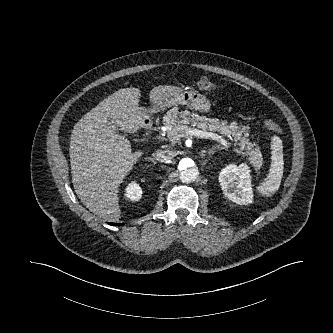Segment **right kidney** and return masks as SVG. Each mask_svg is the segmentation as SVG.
<instances>
[{
    "instance_id": "1",
    "label": "right kidney",
    "mask_w": 333,
    "mask_h": 333,
    "mask_svg": "<svg viewBox=\"0 0 333 333\" xmlns=\"http://www.w3.org/2000/svg\"><path fill=\"white\" fill-rule=\"evenodd\" d=\"M125 196L130 201H139L142 197V189L137 183L132 182L126 188Z\"/></svg>"
}]
</instances>
